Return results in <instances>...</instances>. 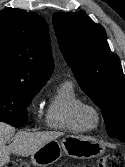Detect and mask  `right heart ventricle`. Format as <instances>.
<instances>
[{
	"label": "right heart ventricle",
	"mask_w": 125,
	"mask_h": 167,
	"mask_svg": "<svg viewBox=\"0 0 125 167\" xmlns=\"http://www.w3.org/2000/svg\"><path fill=\"white\" fill-rule=\"evenodd\" d=\"M84 104L70 81L62 82L50 98L45 114V125L68 132H83L86 129L78 116Z\"/></svg>",
	"instance_id": "obj_1"
}]
</instances>
